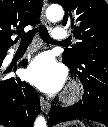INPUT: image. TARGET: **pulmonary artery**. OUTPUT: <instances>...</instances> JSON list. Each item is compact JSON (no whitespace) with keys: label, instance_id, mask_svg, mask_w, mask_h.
I'll list each match as a JSON object with an SVG mask.
<instances>
[{"label":"pulmonary artery","instance_id":"1","mask_svg":"<svg viewBox=\"0 0 108 127\" xmlns=\"http://www.w3.org/2000/svg\"><path fill=\"white\" fill-rule=\"evenodd\" d=\"M67 32L62 28H57L53 31V37L56 40L64 41L67 38Z\"/></svg>","mask_w":108,"mask_h":127}]
</instances>
